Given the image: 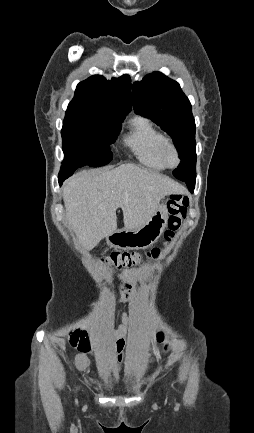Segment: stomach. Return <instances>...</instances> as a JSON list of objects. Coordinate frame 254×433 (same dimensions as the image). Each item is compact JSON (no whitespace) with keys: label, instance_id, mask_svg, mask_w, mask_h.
Instances as JSON below:
<instances>
[{"label":"stomach","instance_id":"1","mask_svg":"<svg viewBox=\"0 0 254 433\" xmlns=\"http://www.w3.org/2000/svg\"><path fill=\"white\" fill-rule=\"evenodd\" d=\"M168 220L165 204L159 205L147 222L136 229H121L107 236L110 246L118 249H144L153 245L163 234Z\"/></svg>","mask_w":254,"mask_h":433}]
</instances>
